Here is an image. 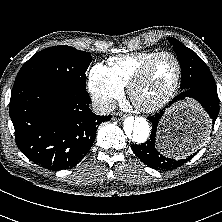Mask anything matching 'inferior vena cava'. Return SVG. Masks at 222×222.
<instances>
[{
    "instance_id": "1",
    "label": "inferior vena cava",
    "mask_w": 222,
    "mask_h": 222,
    "mask_svg": "<svg viewBox=\"0 0 222 222\" xmlns=\"http://www.w3.org/2000/svg\"><path fill=\"white\" fill-rule=\"evenodd\" d=\"M93 111L98 115H108L113 112L116 108L114 101H94L92 104Z\"/></svg>"
}]
</instances>
